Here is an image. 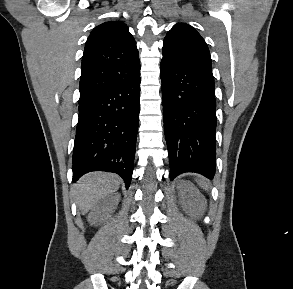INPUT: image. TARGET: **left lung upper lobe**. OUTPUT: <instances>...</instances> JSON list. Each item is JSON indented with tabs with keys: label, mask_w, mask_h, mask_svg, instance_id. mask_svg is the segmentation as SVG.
<instances>
[{
	"label": "left lung upper lobe",
	"mask_w": 293,
	"mask_h": 289,
	"mask_svg": "<svg viewBox=\"0 0 293 289\" xmlns=\"http://www.w3.org/2000/svg\"><path fill=\"white\" fill-rule=\"evenodd\" d=\"M163 59L197 70H212L207 44L200 34L186 23H177L167 33L163 44Z\"/></svg>",
	"instance_id": "5c2ea615"
}]
</instances>
